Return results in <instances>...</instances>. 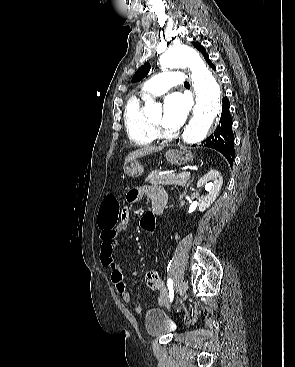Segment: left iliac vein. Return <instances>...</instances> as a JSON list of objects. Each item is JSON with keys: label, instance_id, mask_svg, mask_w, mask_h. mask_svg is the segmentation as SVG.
Here are the masks:
<instances>
[{"label": "left iliac vein", "instance_id": "4c4485c4", "mask_svg": "<svg viewBox=\"0 0 295 367\" xmlns=\"http://www.w3.org/2000/svg\"><path fill=\"white\" fill-rule=\"evenodd\" d=\"M176 288H177V291L180 294V297L183 298L186 295V292H187V289H188V284H187V282L183 281Z\"/></svg>", "mask_w": 295, "mask_h": 367}]
</instances>
